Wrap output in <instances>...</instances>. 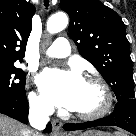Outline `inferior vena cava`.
<instances>
[{"mask_svg":"<svg viewBox=\"0 0 136 136\" xmlns=\"http://www.w3.org/2000/svg\"><path fill=\"white\" fill-rule=\"evenodd\" d=\"M54 108L44 103H35L30 105L29 122L32 127L42 130L49 121V116L53 113Z\"/></svg>","mask_w":136,"mask_h":136,"instance_id":"1","label":"inferior vena cava"}]
</instances>
